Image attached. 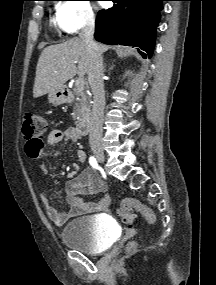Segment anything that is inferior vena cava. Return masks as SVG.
<instances>
[{"label": "inferior vena cava", "mask_w": 216, "mask_h": 285, "mask_svg": "<svg viewBox=\"0 0 216 285\" xmlns=\"http://www.w3.org/2000/svg\"><path fill=\"white\" fill-rule=\"evenodd\" d=\"M95 31V18L93 15L86 20L81 30L80 38L86 43L89 53L88 81L93 93V106L90 118V145L93 146L101 142L102 122L105 105V93L103 84V60L100 49L93 40Z\"/></svg>", "instance_id": "602c4592"}]
</instances>
